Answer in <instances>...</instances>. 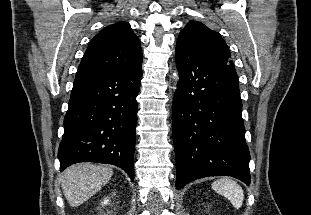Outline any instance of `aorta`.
I'll list each match as a JSON object with an SVG mask.
<instances>
[{
  "label": "aorta",
  "instance_id": "aorta-1",
  "mask_svg": "<svg viewBox=\"0 0 311 215\" xmlns=\"http://www.w3.org/2000/svg\"><path fill=\"white\" fill-rule=\"evenodd\" d=\"M173 80L175 81V83H177L179 81V75L177 72L173 73Z\"/></svg>",
  "mask_w": 311,
  "mask_h": 215
}]
</instances>
